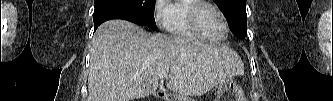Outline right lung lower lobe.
<instances>
[{"label":"right lung lower lobe","mask_w":333,"mask_h":101,"mask_svg":"<svg viewBox=\"0 0 333 101\" xmlns=\"http://www.w3.org/2000/svg\"><path fill=\"white\" fill-rule=\"evenodd\" d=\"M111 19H123L139 24L134 10L124 0H97L93 13L95 30L101 23Z\"/></svg>","instance_id":"obj_1"}]
</instances>
